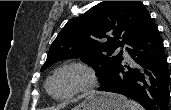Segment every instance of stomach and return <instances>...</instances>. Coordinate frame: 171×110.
<instances>
[{
  "label": "stomach",
  "mask_w": 171,
  "mask_h": 110,
  "mask_svg": "<svg viewBox=\"0 0 171 110\" xmlns=\"http://www.w3.org/2000/svg\"><path fill=\"white\" fill-rule=\"evenodd\" d=\"M125 100L119 95L94 92L87 100L72 110H126Z\"/></svg>",
  "instance_id": "stomach-1"
}]
</instances>
